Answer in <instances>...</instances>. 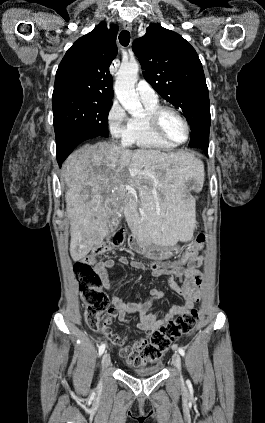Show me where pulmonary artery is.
I'll return each instance as SVG.
<instances>
[{"label":"pulmonary artery","instance_id":"obj_1","mask_svg":"<svg viewBox=\"0 0 265 423\" xmlns=\"http://www.w3.org/2000/svg\"><path fill=\"white\" fill-rule=\"evenodd\" d=\"M136 92L142 101L155 102L158 100L155 90L145 81H140L136 85Z\"/></svg>","mask_w":265,"mask_h":423}]
</instances>
